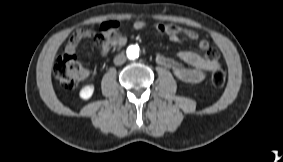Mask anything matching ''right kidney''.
I'll use <instances>...</instances> for the list:
<instances>
[{
	"instance_id": "ca27d5eb",
	"label": "right kidney",
	"mask_w": 283,
	"mask_h": 162,
	"mask_svg": "<svg viewBox=\"0 0 283 162\" xmlns=\"http://www.w3.org/2000/svg\"><path fill=\"white\" fill-rule=\"evenodd\" d=\"M93 92H94V86L87 85L81 89L79 95L82 99L87 100L92 96Z\"/></svg>"
}]
</instances>
